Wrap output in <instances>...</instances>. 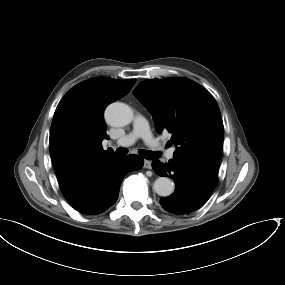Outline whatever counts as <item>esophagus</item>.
I'll list each match as a JSON object with an SVG mask.
<instances>
[{
  "instance_id": "esophagus-1",
  "label": "esophagus",
  "mask_w": 285,
  "mask_h": 285,
  "mask_svg": "<svg viewBox=\"0 0 285 285\" xmlns=\"http://www.w3.org/2000/svg\"><path fill=\"white\" fill-rule=\"evenodd\" d=\"M152 163L150 160H144V168L151 169Z\"/></svg>"
}]
</instances>
